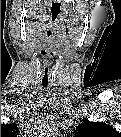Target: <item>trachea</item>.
Listing matches in <instances>:
<instances>
[{
	"label": "trachea",
	"instance_id": "obj_1",
	"mask_svg": "<svg viewBox=\"0 0 121 137\" xmlns=\"http://www.w3.org/2000/svg\"><path fill=\"white\" fill-rule=\"evenodd\" d=\"M59 15H60V8L58 5H55L51 8V31H50V35L52 33H54L55 29L57 28L58 25V19H59ZM42 75H43V79H42V84L44 87H47L48 85V77H49V68L48 65H45L43 67V71H42Z\"/></svg>",
	"mask_w": 121,
	"mask_h": 137
}]
</instances>
